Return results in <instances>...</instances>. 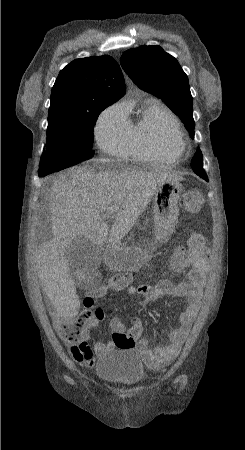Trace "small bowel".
I'll use <instances>...</instances> for the list:
<instances>
[{
  "label": "small bowel",
  "instance_id": "1",
  "mask_svg": "<svg viewBox=\"0 0 245 450\" xmlns=\"http://www.w3.org/2000/svg\"><path fill=\"white\" fill-rule=\"evenodd\" d=\"M186 266H191V270L187 274L186 282L174 283L168 279L167 276L169 274L179 273ZM210 269V256L203 259L198 253L191 249L186 250L179 245L173 250L168 268L159 272L154 285L135 286L126 284L123 287H113L111 289L100 288L98 295H102L107 290H125L129 296L144 297L143 305L145 306L155 303L163 296H181L187 299L184 310L178 315L179 325L167 333V342L151 345L149 336L144 335L135 344L134 350L148 368L157 369L162 364L172 362L179 354L189 333L192 320L199 311L203 287ZM55 283L57 286L67 289L69 294L71 293V286L68 281L55 280ZM74 317V313L65 314L64 310L52 313L54 327L76 362L92 365L96 356H103L114 348L122 347L115 339L114 333L122 332L125 330V326L117 317H114L111 322L113 330L112 338L106 342L98 341L93 346L88 341L86 344H82L69 339L60 329V325L64 321L73 319Z\"/></svg>",
  "mask_w": 245,
  "mask_h": 450
}]
</instances>
